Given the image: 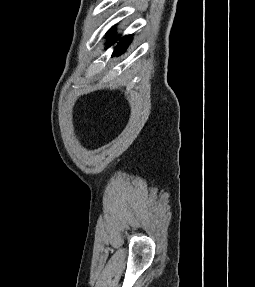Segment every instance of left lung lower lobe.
Wrapping results in <instances>:
<instances>
[{
  "mask_svg": "<svg viewBox=\"0 0 255 287\" xmlns=\"http://www.w3.org/2000/svg\"><path fill=\"white\" fill-rule=\"evenodd\" d=\"M107 34L109 37H112L114 34L113 28L111 30H109ZM131 37H132V35L124 36L123 38H121L119 43L117 44V46L114 49L113 55H119V54L123 53L125 51V49L127 48V46L130 44ZM115 41L116 40H113L112 42L109 41V42H107V44L111 45Z\"/></svg>",
  "mask_w": 255,
  "mask_h": 287,
  "instance_id": "0a47b994",
  "label": "left lung lower lobe"
}]
</instances>
